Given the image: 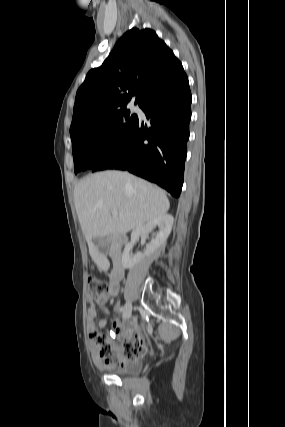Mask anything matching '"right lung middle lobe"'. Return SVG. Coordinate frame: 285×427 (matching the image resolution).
Returning <instances> with one entry per match:
<instances>
[{
  "instance_id": "obj_1",
  "label": "right lung middle lobe",
  "mask_w": 285,
  "mask_h": 427,
  "mask_svg": "<svg viewBox=\"0 0 285 427\" xmlns=\"http://www.w3.org/2000/svg\"><path fill=\"white\" fill-rule=\"evenodd\" d=\"M137 120L125 107L71 132L75 173L102 163L123 143Z\"/></svg>"
}]
</instances>
